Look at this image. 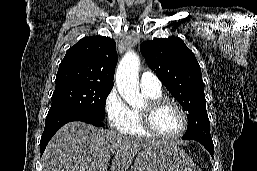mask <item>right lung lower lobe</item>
Listing matches in <instances>:
<instances>
[{
  "label": "right lung lower lobe",
  "mask_w": 257,
  "mask_h": 171,
  "mask_svg": "<svg viewBox=\"0 0 257 171\" xmlns=\"http://www.w3.org/2000/svg\"><path fill=\"white\" fill-rule=\"evenodd\" d=\"M72 121H82L98 127L104 126L100 119L81 112L68 111L49 115L46 117L44 132L40 140L41 155L57 130L64 124Z\"/></svg>",
  "instance_id": "1"
}]
</instances>
